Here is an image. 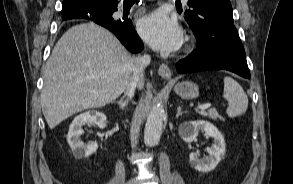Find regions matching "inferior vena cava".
<instances>
[{"mask_svg":"<svg viewBox=\"0 0 293 184\" xmlns=\"http://www.w3.org/2000/svg\"><path fill=\"white\" fill-rule=\"evenodd\" d=\"M151 57L149 55H138L134 58L133 74L126 86L124 92L131 99L134 95L136 87L143 84L144 69L150 64Z\"/></svg>","mask_w":293,"mask_h":184,"instance_id":"602c4592","label":"inferior vena cava"}]
</instances>
